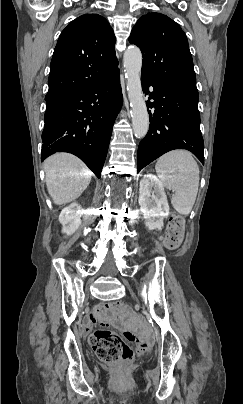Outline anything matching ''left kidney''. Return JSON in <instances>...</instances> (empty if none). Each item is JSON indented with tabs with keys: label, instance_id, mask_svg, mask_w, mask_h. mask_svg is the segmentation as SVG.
<instances>
[{
	"label": "left kidney",
	"instance_id": "obj_1",
	"mask_svg": "<svg viewBox=\"0 0 243 404\" xmlns=\"http://www.w3.org/2000/svg\"><path fill=\"white\" fill-rule=\"evenodd\" d=\"M139 206L149 230H162L164 218L169 216V204L164 186L153 174H146L140 182Z\"/></svg>",
	"mask_w": 243,
	"mask_h": 404
}]
</instances>
